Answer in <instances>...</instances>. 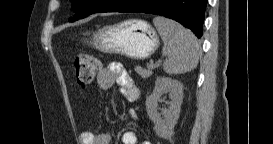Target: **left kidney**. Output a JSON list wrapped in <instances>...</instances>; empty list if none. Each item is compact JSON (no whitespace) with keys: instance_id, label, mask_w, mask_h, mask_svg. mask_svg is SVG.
<instances>
[{"instance_id":"5707ae66","label":"left kidney","mask_w":273,"mask_h":144,"mask_svg":"<svg viewBox=\"0 0 273 144\" xmlns=\"http://www.w3.org/2000/svg\"><path fill=\"white\" fill-rule=\"evenodd\" d=\"M164 93H170L171 101L168 102V108H163L161 113H158V100ZM182 101L183 85L181 82L169 77L157 78L152 94L146 99V109L149 118L154 123V130L159 137L164 139L172 137L174 127L180 115Z\"/></svg>"}]
</instances>
